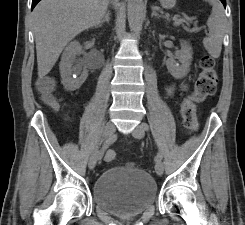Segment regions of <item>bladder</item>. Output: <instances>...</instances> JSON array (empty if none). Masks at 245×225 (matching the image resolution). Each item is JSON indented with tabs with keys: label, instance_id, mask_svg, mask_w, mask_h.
Returning a JSON list of instances; mask_svg holds the SVG:
<instances>
[{
	"label": "bladder",
	"instance_id": "obj_1",
	"mask_svg": "<svg viewBox=\"0 0 245 225\" xmlns=\"http://www.w3.org/2000/svg\"><path fill=\"white\" fill-rule=\"evenodd\" d=\"M96 206L115 216L142 214L158 199L153 177L137 167L105 169L92 185Z\"/></svg>",
	"mask_w": 245,
	"mask_h": 225
}]
</instances>
